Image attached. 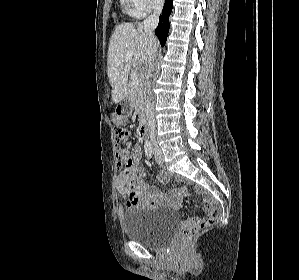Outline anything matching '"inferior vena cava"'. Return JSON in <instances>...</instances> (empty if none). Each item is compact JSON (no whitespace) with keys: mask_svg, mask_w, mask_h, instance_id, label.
<instances>
[{"mask_svg":"<svg viewBox=\"0 0 299 280\" xmlns=\"http://www.w3.org/2000/svg\"><path fill=\"white\" fill-rule=\"evenodd\" d=\"M164 0H155V8L154 12L144 20L143 22V28L144 31L149 34L150 41H151V48L150 53L148 57V72H147V79L151 75L152 69H153V63L155 60L156 52H157V46L155 43H153L154 34L153 31L158 25L159 22V16L163 9ZM145 112L147 116V122H148V129L150 134L151 141H155V135H156V121L154 116V106L150 102L149 99L146 100V107Z\"/></svg>","mask_w":299,"mask_h":280,"instance_id":"1","label":"inferior vena cava"}]
</instances>
